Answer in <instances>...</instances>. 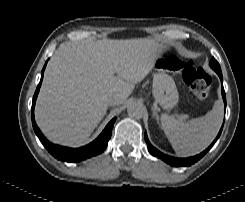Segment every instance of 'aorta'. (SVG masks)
<instances>
[{"instance_id":"762f6f07","label":"aorta","mask_w":245,"mask_h":202,"mask_svg":"<svg viewBox=\"0 0 245 202\" xmlns=\"http://www.w3.org/2000/svg\"><path fill=\"white\" fill-rule=\"evenodd\" d=\"M127 113L131 118L140 119L143 116L144 109L141 105L133 103L128 106Z\"/></svg>"}]
</instances>
